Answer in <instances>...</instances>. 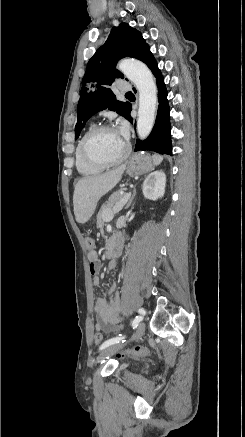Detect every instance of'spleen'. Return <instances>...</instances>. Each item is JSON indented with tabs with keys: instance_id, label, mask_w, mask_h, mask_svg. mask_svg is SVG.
<instances>
[{
	"instance_id": "spleen-1",
	"label": "spleen",
	"mask_w": 245,
	"mask_h": 437,
	"mask_svg": "<svg viewBox=\"0 0 245 437\" xmlns=\"http://www.w3.org/2000/svg\"><path fill=\"white\" fill-rule=\"evenodd\" d=\"M153 158L156 165H159L163 160V157L159 154H154Z\"/></svg>"
}]
</instances>
